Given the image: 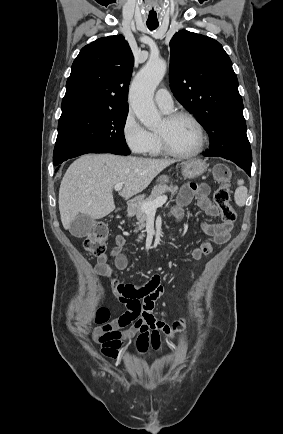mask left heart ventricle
<instances>
[{
  "mask_svg": "<svg viewBox=\"0 0 283 434\" xmlns=\"http://www.w3.org/2000/svg\"><path fill=\"white\" fill-rule=\"evenodd\" d=\"M157 131L165 135L169 145L177 152L187 153L197 147V130L193 123L186 118L173 122H167L164 118Z\"/></svg>",
  "mask_w": 283,
  "mask_h": 434,
  "instance_id": "left-heart-ventricle-1",
  "label": "left heart ventricle"
}]
</instances>
